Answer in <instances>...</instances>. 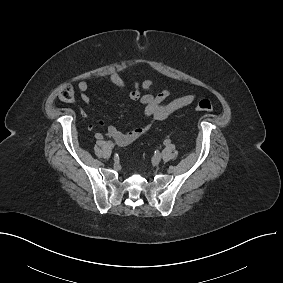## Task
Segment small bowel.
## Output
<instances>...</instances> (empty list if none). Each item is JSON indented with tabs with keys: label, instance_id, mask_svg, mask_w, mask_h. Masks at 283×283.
Masks as SVG:
<instances>
[{
	"label": "small bowel",
	"instance_id": "small-bowel-1",
	"mask_svg": "<svg viewBox=\"0 0 283 283\" xmlns=\"http://www.w3.org/2000/svg\"><path fill=\"white\" fill-rule=\"evenodd\" d=\"M111 84L122 94L134 101H139L143 105L144 115L149 118V122L144 126L134 128L127 132H122L115 126H109L107 134L120 145H128L138 140L152 128L153 124L166 119L174 111L190 105L194 97L186 95L169 100L170 91L162 90L154 92V80L146 79L142 82L134 81L133 88L127 89L125 82L117 72H112L109 76ZM89 84L82 80L78 83L80 98L84 104L90 103V97L87 95ZM144 91V93H142ZM98 122L97 125H101Z\"/></svg>",
	"mask_w": 283,
	"mask_h": 283
}]
</instances>
